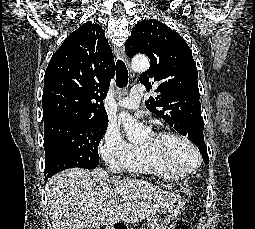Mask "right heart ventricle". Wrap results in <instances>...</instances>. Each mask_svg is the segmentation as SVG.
Returning <instances> with one entry per match:
<instances>
[{"label": "right heart ventricle", "mask_w": 255, "mask_h": 229, "mask_svg": "<svg viewBox=\"0 0 255 229\" xmlns=\"http://www.w3.org/2000/svg\"><path fill=\"white\" fill-rule=\"evenodd\" d=\"M124 170L134 173L154 175L163 179L173 180L185 177V173H173L153 157L143 146L131 145Z\"/></svg>", "instance_id": "e07e8e85"}]
</instances>
